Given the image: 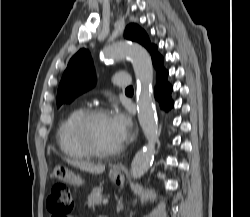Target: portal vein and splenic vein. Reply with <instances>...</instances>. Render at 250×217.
<instances>
[{"instance_id":"18ae733b","label":"portal vein and splenic vein","mask_w":250,"mask_h":217,"mask_svg":"<svg viewBox=\"0 0 250 217\" xmlns=\"http://www.w3.org/2000/svg\"><path fill=\"white\" fill-rule=\"evenodd\" d=\"M102 203L106 205L108 203V199L107 198L103 199Z\"/></svg>"}]
</instances>
